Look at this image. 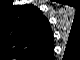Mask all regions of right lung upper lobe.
Instances as JSON below:
<instances>
[{"label": "right lung upper lobe", "instance_id": "obj_1", "mask_svg": "<svg viewBox=\"0 0 80 60\" xmlns=\"http://www.w3.org/2000/svg\"><path fill=\"white\" fill-rule=\"evenodd\" d=\"M9 23L10 39L16 47L34 54L42 52L47 46L46 18L32 5L11 7Z\"/></svg>", "mask_w": 80, "mask_h": 60}]
</instances>
